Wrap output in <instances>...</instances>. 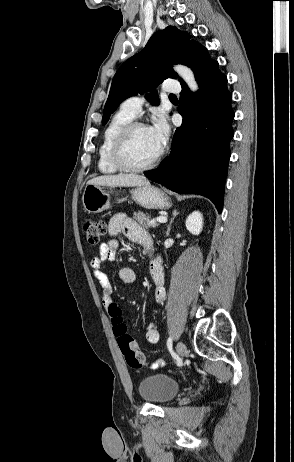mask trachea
I'll return each mask as SVG.
<instances>
[{"instance_id": "1", "label": "trachea", "mask_w": 294, "mask_h": 462, "mask_svg": "<svg viewBox=\"0 0 294 462\" xmlns=\"http://www.w3.org/2000/svg\"><path fill=\"white\" fill-rule=\"evenodd\" d=\"M170 99H177L175 95H170Z\"/></svg>"}]
</instances>
